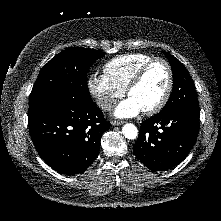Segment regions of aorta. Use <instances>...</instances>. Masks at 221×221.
<instances>
[{
	"instance_id": "1",
	"label": "aorta",
	"mask_w": 221,
	"mask_h": 221,
	"mask_svg": "<svg viewBox=\"0 0 221 221\" xmlns=\"http://www.w3.org/2000/svg\"><path fill=\"white\" fill-rule=\"evenodd\" d=\"M122 133L125 138L133 140L138 136V129L134 124L126 123L122 127Z\"/></svg>"
}]
</instances>
